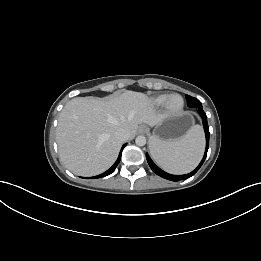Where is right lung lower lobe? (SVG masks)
I'll use <instances>...</instances> for the list:
<instances>
[{
  "label": "right lung lower lobe",
  "mask_w": 261,
  "mask_h": 261,
  "mask_svg": "<svg viewBox=\"0 0 261 261\" xmlns=\"http://www.w3.org/2000/svg\"><path fill=\"white\" fill-rule=\"evenodd\" d=\"M125 146H126V144L123 145V147L121 148V151H120V153H119L118 159L116 160V162L113 164V166H112L109 170H107L106 172H104V173H102V174H100V175H97V176H94V177H90V179H97V178L105 177V176H107V175L113 173V172L115 171L117 165H118L119 162H120L122 150L124 149Z\"/></svg>",
  "instance_id": "1"
}]
</instances>
